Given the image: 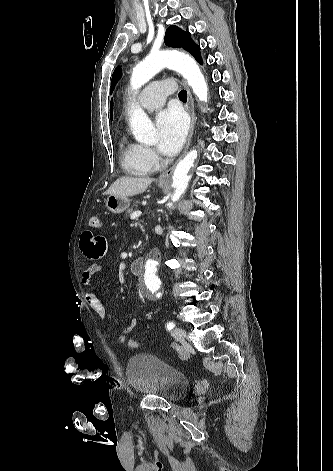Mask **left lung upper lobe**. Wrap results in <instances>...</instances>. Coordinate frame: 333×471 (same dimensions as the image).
<instances>
[{"label":"left lung upper lobe","instance_id":"5c2ea615","mask_svg":"<svg viewBox=\"0 0 333 471\" xmlns=\"http://www.w3.org/2000/svg\"><path fill=\"white\" fill-rule=\"evenodd\" d=\"M165 44L170 47L183 48L190 52L198 62L202 61L200 48L191 39L190 33L177 26H169L165 33ZM122 76V70L118 66L112 76L111 91Z\"/></svg>","mask_w":333,"mask_h":471}]
</instances>
